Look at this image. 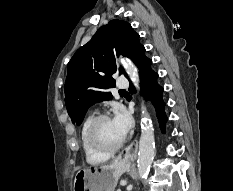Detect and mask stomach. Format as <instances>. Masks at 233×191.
I'll list each match as a JSON object with an SVG mask.
<instances>
[{
  "label": "stomach",
  "mask_w": 233,
  "mask_h": 191,
  "mask_svg": "<svg viewBox=\"0 0 233 191\" xmlns=\"http://www.w3.org/2000/svg\"><path fill=\"white\" fill-rule=\"evenodd\" d=\"M127 168V162L116 160L109 165L80 169L74 178L73 191H114Z\"/></svg>",
  "instance_id": "obj_1"
}]
</instances>
